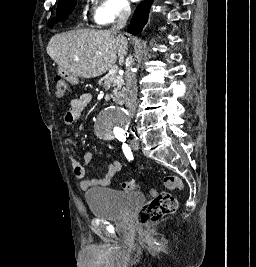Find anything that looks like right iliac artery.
<instances>
[{
	"mask_svg": "<svg viewBox=\"0 0 256 267\" xmlns=\"http://www.w3.org/2000/svg\"><path fill=\"white\" fill-rule=\"evenodd\" d=\"M119 140L124 142L126 140V137L119 138Z\"/></svg>",
	"mask_w": 256,
	"mask_h": 267,
	"instance_id": "1",
	"label": "right iliac artery"
}]
</instances>
